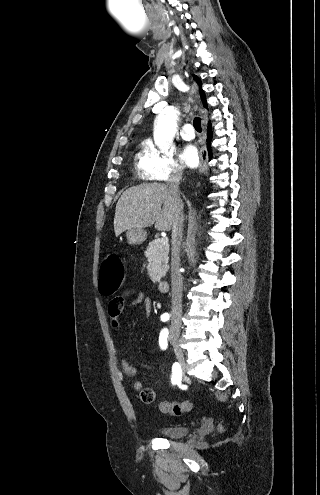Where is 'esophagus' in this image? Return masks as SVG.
I'll return each instance as SVG.
<instances>
[{"mask_svg":"<svg viewBox=\"0 0 320 495\" xmlns=\"http://www.w3.org/2000/svg\"><path fill=\"white\" fill-rule=\"evenodd\" d=\"M207 159L208 154L205 147H202L200 150V164H199V172L203 173L207 169Z\"/></svg>","mask_w":320,"mask_h":495,"instance_id":"obj_1","label":"esophagus"}]
</instances>
